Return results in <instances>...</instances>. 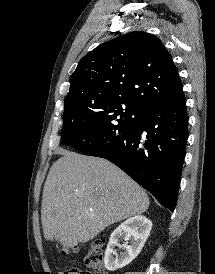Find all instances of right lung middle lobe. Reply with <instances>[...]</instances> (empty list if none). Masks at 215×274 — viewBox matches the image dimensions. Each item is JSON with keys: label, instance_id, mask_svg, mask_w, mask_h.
I'll return each instance as SVG.
<instances>
[{"label": "right lung middle lobe", "instance_id": "obj_1", "mask_svg": "<svg viewBox=\"0 0 215 274\" xmlns=\"http://www.w3.org/2000/svg\"><path fill=\"white\" fill-rule=\"evenodd\" d=\"M141 111L121 101L65 102L61 143L87 152L124 134Z\"/></svg>", "mask_w": 215, "mask_h": 274}]
</instances>
